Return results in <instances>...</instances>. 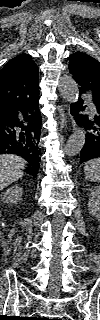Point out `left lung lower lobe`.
<instances>
[{
    "mask_svg": "<svg viewBox=\"0 0 100 320\" xmlns=\"http://www.w3.org/2000/svg\"><path fill=\"white\" fill-rule=\"evenodd\" d=\"M80 92L84 91L80 89ZM93 101L96 106V115L92 120L87 116H76L78 126H84L86 129V140L81 150L80 163L100 157V100L93 98ZM72 109L84 110L80 104H73Z\"/></svg>",
    "mask_w": 100,
    "mask_h": 320,
    "instance_id": "0a47b994",
    "label": "left lung lower lobe"
}]
</instances>
